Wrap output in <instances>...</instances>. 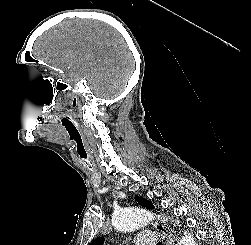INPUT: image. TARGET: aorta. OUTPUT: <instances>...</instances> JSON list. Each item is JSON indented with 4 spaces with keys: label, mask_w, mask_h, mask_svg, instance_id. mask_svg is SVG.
Wrapping results in <instances>:
<instances>
[{
    "label": "aorta",
    "mask_w": 251,
    "mask_h": 245,
    "mask_svg": "<svg viewBox=\"0 0 251 245\" xmlns=\"http://www.w3.org/2000/svg\"><path fill=\"white\" fill-rule=\"evenodd\" d=\"M149 218V211L139 207H129L114 213L112 225L121 232L135 231L146 225ZM176 245H196V240L191 233L185 232Z\"/></svg>",
    "instance_id": "obj_1"
}]
</instances>
